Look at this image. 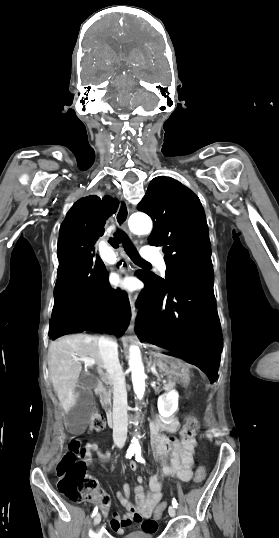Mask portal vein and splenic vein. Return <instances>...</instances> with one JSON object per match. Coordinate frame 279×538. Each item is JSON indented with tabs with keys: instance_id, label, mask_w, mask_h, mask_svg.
Here are the masks:
<instances>
[{
	"instance_id": "1",
	"label": "portal vein and splenic vein",
	"mask_w": 279,
	"mask_h": 538,
	"mask_svg": "<svg viewBox=\"0 0 279 538\" xmlns=\"http://www.w3.org/2000/svg\"><path fill=\"white\" fill-rule=\"evenodd\" d=\"M78 360L85 362L86 366H92V364H95V360H92V358H78ZM163 383H168V380H163Z\"/></svg>"
}]
</instances>
